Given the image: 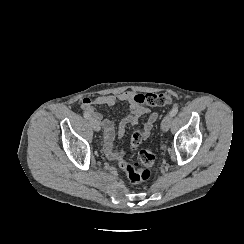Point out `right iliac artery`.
<instances>
[{
    "label": "right iliac artery",
    "instance_id": "82829eb1",
    "mask_svg": "<svg viewBox=\"0 0 244 244\" xmlns=\"http://www.w3.org/2000/svg\"><path fill=\"white\" fill-rule=\"evenodd\" d=\"M84 117L86 118V119H90L91 118V115L88 113V112H84Z\"/></svg>",
    "mask_w": 244,
    "mask_h": 244
}]
</instances>
